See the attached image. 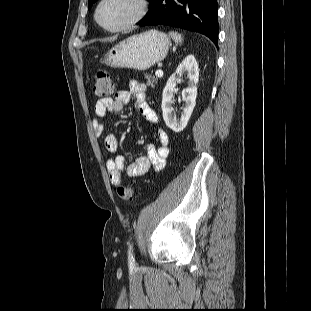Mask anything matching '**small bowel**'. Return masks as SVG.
<instances>
[{
	"mask_svg": "<svg viewBox=\"0 0 311 311\" xmlns=\"http://www.w3.org/2000/svg\"><path fill=\"white\" fill-rule=\"evenodd\" d=\"M132 100L135 101L137 108L147 121L154 125L158 123L157 113L147 102L145 85L132 80L128 90H119L113 97L103 98L96 102L94 116L91 119V127L94 134L100 136L103 133V120L107 113H121L124 106ZM156 134L159 146L148 144L146 155L138 157L135 161L127 164L128 157L125 155H117L106 161V169L113 185L121 183L124 172L131 177H140L150 169L154 171L163 169L169 154V136L162 128H158ZM104 145L108 152H116L118 149L117 136L114 133L107 134L104 138Z\"/></svg>",
	"mask_w": 311,
	"mask_h": 311,
	"instance_id": "obj_1",
	"label": "small bowel"
}]
</instances>
